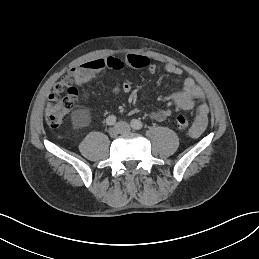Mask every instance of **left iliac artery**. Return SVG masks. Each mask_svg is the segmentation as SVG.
Segmentation results:
<instances>
[{
	"instance_id": "obj_1",
	"label": "left iliac artery",
	"mask_w": 259,
	"mask_h": 259,
	"mask_svg": "<svg viewBox=\"0 0 259 259\" xmlns=\"http://www.w3.org/2000/svg\"><path fill=\"white\" fill-rule=\"evenodd\" d=\"M131 127L135 130H140L143 128V123L140 120L133 119L131 120Z\"/></svg>"
}]
</instances>
